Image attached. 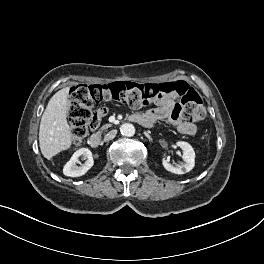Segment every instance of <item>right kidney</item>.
Here are the masks:
<instances>
[{"label":"right kidney","mask_w":264,"mask_h":264,"mask_svg":"<svg viewBox=\"0 0 264 264\" xmlns=\"http://www.w3.org/2000/svg\"><path fill=\"white\" fill-rule=\"evenodd\" d=\"M79 157H83L85 163L82 166H77ZM94 164L92 152L88 148H80L70 158L63 168V173L69 177H79L84 175Z\"/></svg>","instance_id":"ca27d5eb"}]
</instances>
